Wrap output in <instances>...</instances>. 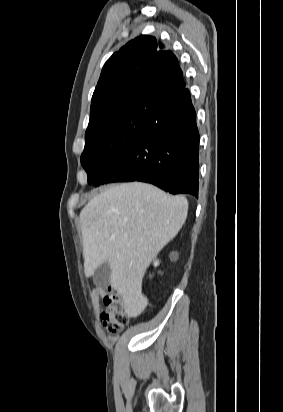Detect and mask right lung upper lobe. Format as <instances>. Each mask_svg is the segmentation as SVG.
I'll list each match as a JSON object with an SVG mask.
<instances>
[{
    "label": "right lung upper lobe",
    "mask_w": 283,
    "mask_h": 412,
    "mask_svg": "<svg viewBox=\"0 0 283 412\" xmlns=\"http://www.w3.org/2000/svg\"><path fill=\"white\" fill-rule=\"evenodd\" d=\"M156 38L140 36L105 63L92 96L89 126L135 104H165L185 88L177 58Z\"/></svg>",
    "instance_id": "right-lung-upper-lobe-1"
}]
</instances>
